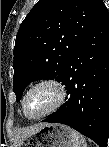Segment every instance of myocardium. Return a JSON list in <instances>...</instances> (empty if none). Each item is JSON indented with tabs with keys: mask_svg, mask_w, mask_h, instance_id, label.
<instances>
[{
	"mask_svg": "<svg viewBox=\"0 0 109 147\" xmlns=\"http://www.w3.org/2000/svg\"><path fill=\"white\" fill-rule=\"evenodd\" d=\"M45 86L52 87L56 90V92H57L56 101L49 109H47L43 113H41L39 115L31 114L27 109V99L34 90H36L40 87H45ZM66 96H67L66 87L63 84V82H61L60 80L55 79V78H47V79L41 80L40 82L33 85L26 92V94L23 98V102H22L23 111L27 116H29L30 118H33V119H39V118L46 117V116L56 112L64 104Z\"/></svg>",
	"mask_w": 109,
	"mask_h": 147,
	"instance_id": "f54148a6",
	"label": "myocardium"
}]
</instances>
